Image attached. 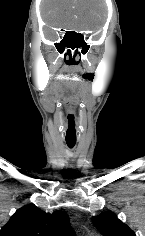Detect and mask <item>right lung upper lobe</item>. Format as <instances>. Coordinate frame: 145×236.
I'll list each match as a JSON object with an SVG mask.
<instances>
[{"instance_id": "1", "label": "right lung upper lobe", "mask_w": 145, "mask_h": 236, "mask_svg": "<svg viewBox=\"0 0 145 236\" xmlns=\"http://www.w3.org/2000/svg\"><path fill=\"white\" fill-rule=\"evenodd\" d=\"M0 236H75L68 215L45 213L33 205L18 209L0 230Z\"/></svg>"}]
</instances>
